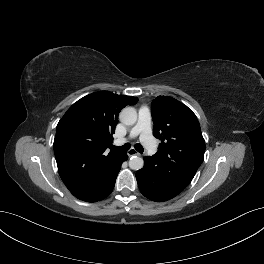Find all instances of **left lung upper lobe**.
I'll return each instance as SVG.
<instances>
[{
    "mask_svg": "<svg viewBox=\"0 0 264 264\" xmlns=\"http://www.w3.org/2000/svg\"><path fill=\"white\" fill-rule=\"evenodd\" d=\"M153 135L161 140L155 156L163 167L183 170L193 177L203 162L205 141L197 117L191 109L168 96H158L151 104Z\"/></svg>",
    "mask_w": 264,
    "mask_h": 264,
    "instance_id": "left-lung-upper-lobe-1",
    "label": "left lung upper lobe"
}]
</instances>
